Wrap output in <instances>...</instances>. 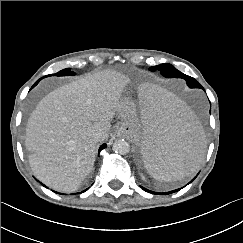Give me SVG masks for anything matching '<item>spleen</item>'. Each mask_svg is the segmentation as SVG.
Listing matches in <instances>:
<instances>
[{"instance_id":"obj_1","label":"spleen","mask_w":243,"mask_h":243,"mask_svg":"<svg viewBox=\"0 0 243 243\" xmlns=\"http://www.w3.org/2000/svg\"><path fill=\"white\" fill-rule=\"evenodd\" d=\"M141 162L160 182L192 175L203 161L206 141L201 123L174 95L155 86L140 91Z\"/></svg>"}]
</instances>
